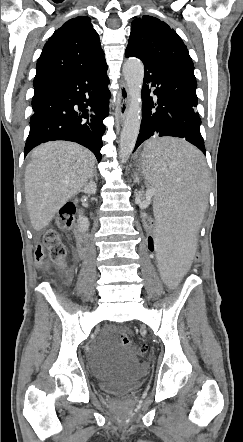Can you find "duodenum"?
I'll list each match as a JSON object with an SVG mask.
<instances>
[{
  "instance_id": "410a0bca",
  "label": "duodenum",
  "mask_w": 243,
  "mask_h": 442,
  "mask_svg": "<svg viewBox=\"0 0 243 442\" xmlns=\"http://www.w3.org/2000/svg\"><path fill=\"white\" fill-rule=\"evenodd\" d=\"M76 238L79 249L84 252L87 246V238L85 232L82 230H77Z\"/></svg>"
}]
</instances>
